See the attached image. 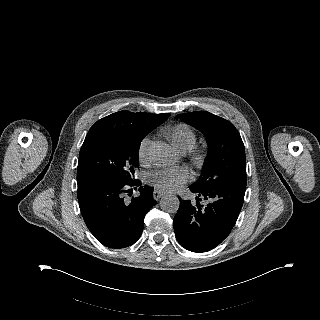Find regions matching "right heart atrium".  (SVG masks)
<instances>
[{
  "instance_id": "d8ad5b80",
  "label": "right heart atrium",
  "mask_w": 320,
  "mask_h": 320,
  "mask_svg": "<svg viewBox=\"0 0 320 320\" xmlns=\"http://www.w3.org/2000/svg\"><path fill=\"white\" fill-rule=\"evenodd\" d=\"M150 144V139L148 137H145L140 145H139V149H138V155H139V158L141 160H144L146 159V156H147V149H148V146Z\"/></svg>"
}]
</instances>
